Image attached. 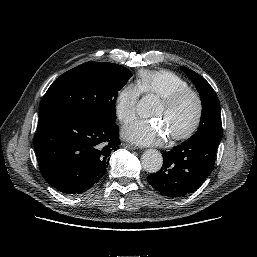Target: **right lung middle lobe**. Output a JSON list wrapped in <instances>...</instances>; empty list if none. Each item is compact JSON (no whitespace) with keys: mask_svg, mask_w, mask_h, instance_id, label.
Listing matches in <instances>:
<instances>
[{"mask_svg":"<svg viewBox=\"0 0 257 257\" xmlns=\"http://www.w3.org/2000/svg\"><path fill=\"white\" fill-rule=\"evenodd\" d=\"M132 74L114 63L87 62L58 77L44 95L39 117L62 111L115 122L118 92Z\"/></svg>","mask_w":257,"mask_h":257,"instance_id":"obj_1","label":"right lung middle lobe"}]
</instances>
